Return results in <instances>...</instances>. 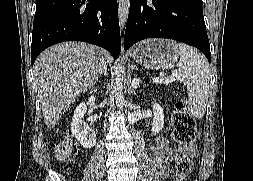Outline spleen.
Here are the masks:
<instances>
[{
	"label": "spleen",
	"mask_w": 253,
	"mask_h": 181,
	"mask_svg": "<svg viewBox=\"0 0 253 181\" xmlns=\"http://www.w3.org/2000/svg\"><path fill=\"white\" fill-rule=\"evenodd\" d=\"M179 60L176 62L177 75L187 86L189 114L202 118L206 112L210 89V71L206 58L195 48L176 43Z\"/></svg>",
	"instance_id": "1"
}]
</instances>
